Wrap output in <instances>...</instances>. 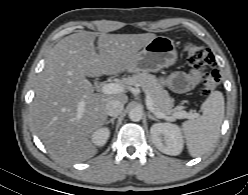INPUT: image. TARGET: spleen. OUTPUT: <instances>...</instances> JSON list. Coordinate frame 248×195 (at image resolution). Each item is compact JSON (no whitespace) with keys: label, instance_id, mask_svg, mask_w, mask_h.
<instances>
[{"label":"spleen","instance_id":"obj_1","mask_svg":"<svg viewBox=\"0 0 248 195\" xmlns=\"http://www.w3.org/2000/svg\"><path fill=\"white\" fill-rule=\"evenodd\" d=\"M203 114L182 123V131L189 154L198 157L207 153L217 141L224 118V97L212 92L201 106Z\"/></svg>","mask_w":248,"mask_h":195}]
</instances>
